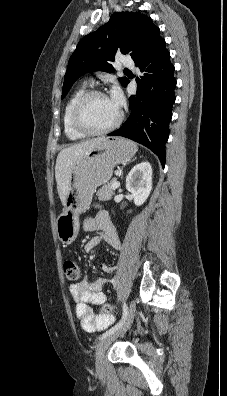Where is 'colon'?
Instances as JSON below:
<instances>
[{"label":"colon","mask_w":227,"mask_h":396,"mask_svg":"<svg viewBox=\"0 0 227 396\" xmlns=\"http://www.w3.org/2000/svg\"><path fill=\"white\" fill-rule=\"evenodd\" d=\"M64 274L70 282H78L80 278L79 268L75 261L66 260L63 265ZM115 310V306L109 303H105L100 308V311L104 314H111Z\"/></svg>","instance_id":"colon-1"}]
</instances>
